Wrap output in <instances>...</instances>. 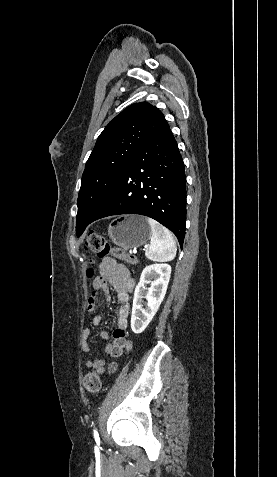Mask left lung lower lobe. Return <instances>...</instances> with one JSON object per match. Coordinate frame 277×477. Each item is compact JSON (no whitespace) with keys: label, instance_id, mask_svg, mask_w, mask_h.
<instances>
[{"label":"left lung lower lobe","instance_id":"left-lung-lower-lobe-1","mask_svg":"<svg viewBox=\"0 0 277 477\" xmlns=\"http://www.w3.org/2000/svg\"><path fill=\"white\" fill-rule=\"evenodd\" d=\"M120 214H140L155 219L176 235L182 247L186 222V177L169 125L125 165L89 224Z\"/></svg>","mask_w":277,"mask_h":477}]
</instances>
